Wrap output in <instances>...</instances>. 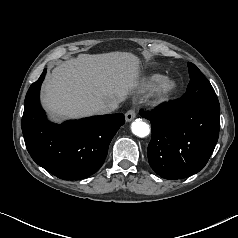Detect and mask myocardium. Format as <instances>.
<instances>
[{
	"instance_id": "myocardium-1",
	"label": "myocardium",
	"mask_w": 238,
	"mask_h": 238,
	"mask_svg": "<svg viewBox=\"0 0 238 238\" xmlns=\"http://www.w3.org/2000/svg\"><path fill=\"white\" fill-rule=\"evenodd\" d=\"M177 82L171 77H163L153 88V97L159 103L167 102L177 90Z\"/></svg>"
}]
</instances>
